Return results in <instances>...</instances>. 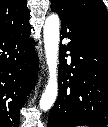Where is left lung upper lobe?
I'll list each match as a JSON object with an SVG mask.
<instances>
[{
  "label": "left lung upper lobe",
  "instance_id": "5c2ea615",
  "mask_svg": "<svg viewBox=\"0 0 108 127\" xmlns=\"http://www.w3.org/2000/svg\"><path fill=\"white\" fill-rule=\"evenodd\" d=\"M51 2H64L81 16L108 27V12L102 0H51Z\"/></svg>",
  "mask_w": 108,
  "mask_h": 127
}]
</instances>
